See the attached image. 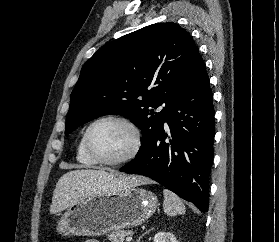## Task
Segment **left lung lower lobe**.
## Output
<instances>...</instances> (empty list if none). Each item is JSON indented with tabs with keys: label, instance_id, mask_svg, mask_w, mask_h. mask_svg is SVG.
<instances>
[{
	"label": "left lung lower lobe",
	"instance_id": "1",
	"mask_svg": "<svg viewBox=\"0 0 279 242\" xmlns=\"http://www.w3.org/2000/svg\"><path fill=\"white\" fill-rule=\"evenodd\" d=\"M165 122L170 132L162 127L150 149L119 170L150 177L207 212L215 126L212 91L200 54Z\"/></svg>",
	"mask_w": 279,
	"mask_h": 242
}]
</instances>
